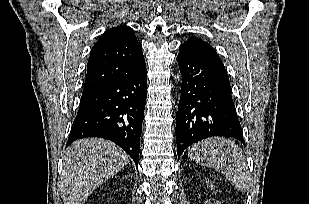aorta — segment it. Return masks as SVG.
Instances as JSON below:
<instances>
[{"mask_svg":"<svg viewBox=\"0 0 309 204\" xmlns=\"http://www.w3.org/2000/svg\"><path fill=\"white\" fill-rule=\"evenodd\" d=\"M175 79L178 80V81H180V79H181L180 72H177V75L175 76Z\"/></svg>","mask_w":309,"mask_h":204,"instance_id":"762f6f07","label":"aorta"}]
</instances>
